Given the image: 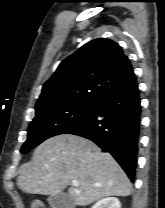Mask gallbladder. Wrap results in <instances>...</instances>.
Masks as SVG:
<instances>
[{"instance_id":"gallbladder-1","label":"gallbladder","mask_w":165,"mask_h":208,"mask_svg":"<svg viewBox=\"0 0 165 208\" xmlns=\"http://www.w3.org/2000/svg\"><path fill=\"white\" fill-rule=\"evenodd\" d=\"M47 201L51 208H75L74 201L66 193L50 195Z\"/></svg>"}]
</instances>
